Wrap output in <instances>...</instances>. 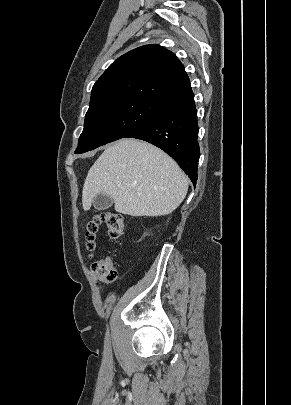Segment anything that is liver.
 <instances>
[{
    "instance_id": "6515ba94",
    "label": "liver",
    "mask_w": 291,
    "mask_h": 405,
    "mask_svg": "<svg viewBox=\"0 0 291 405\" xmlns=\"http://www.w3.org/2000/svg\"><path fill=\"white\" fill-rule=\"evenodd\" d=\"M188 181L178 164L159 148L136 139L108 146L88 171L82 205L98 194L111 197L115 211L131 216L172 213L184 200Z\"/></svg>"
}]
</instances>
